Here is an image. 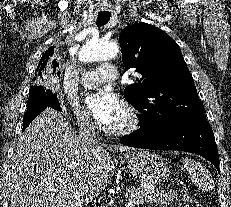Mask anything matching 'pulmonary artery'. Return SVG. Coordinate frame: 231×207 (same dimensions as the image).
I'll use <instances>...</instances> for the list:
<instances>
[{"mask_svg":"<svg viewBox=\"0 0 231 207\" xmlns=\"http://www.w3.org/2000/svg\"><path fill=\"white\" fill-rule=\"evenodd\" d=\"M119 76L113 64H101L97 69L86 71L81 75V83L87 87H95L105 81H115Z\"/></svg>","mask_w":231,"mask_h":207,"instance_id":"pulmonary-artery-1","label":"pulmonary artery"}]
</instances>
